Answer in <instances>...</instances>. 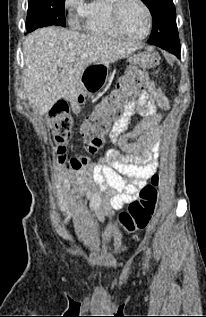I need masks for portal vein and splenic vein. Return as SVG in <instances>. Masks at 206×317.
<instances>
[{
  "mask_svg": "<svg viewBox=\"0 0 206 317\" xmlns=\"http://www.w3.org/2000/svg\"><path fill=\"white\" fill-rule=\"evenodd\" d=\"M68 60H69V61H75L76 58H75V57H69Z\"/></svg>",
  "mask_w": 206,
  "mask_h": 317,
  "instance_id": "1",
  "label": "portal vein and splenic vein"
}]
</instances>
